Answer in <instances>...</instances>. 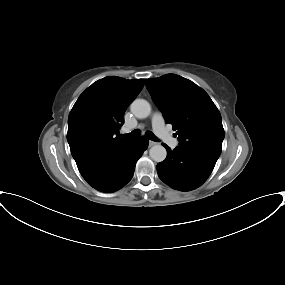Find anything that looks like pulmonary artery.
Here are the masks:
<instances>
[{"instance_id": "obj_1", "label": "pulmonary artery", "mask_w": 285, "mask_h": 285, "mask_svg": "<svg viewBox=\"0 0 285 285\" xmlns=\"http://www.w3.org/2000/svg\"><path fill=\"white\" fill-rule=\"evenodd\" d=\"M152 127L155 134L161 138L168 146L175 148L179 141L174 138L165 126L164 119L161 113L156 112L152 116Z\"/></svg>"}]
</instances>
